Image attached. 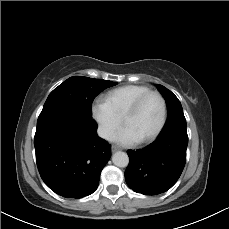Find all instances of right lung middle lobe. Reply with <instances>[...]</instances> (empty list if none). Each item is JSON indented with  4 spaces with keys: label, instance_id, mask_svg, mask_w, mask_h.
Masks as SVG:
<instances>
[{
    "label": "right lung middle lobe",
    "instance_id": "1",
    "mask_svg": "<svg viewBox=\"0 0 229 229\" xmlns=\"http://www.w3.org/2000/svg\"><path fill=\"white\" fill-rule=\"evenodd\" d=\"M116 84L83 76L70 77L49 94L40 114L66 110L91 116L93 99L104 89Z\"/></svg>",
    "mask_w": 229,
    "mask_h": 229
}]
</instances>
